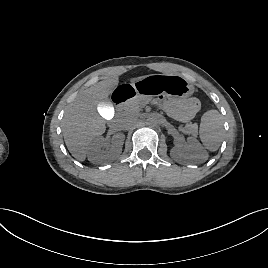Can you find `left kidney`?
<instances>
[{
	"instance_id": "1",
	"label": "left kidney",
	"mask_w": 268,
	"mask_h": 268,
	"mask_svg": "<svg viewBox=\"0 0 268 268\" xmlns=\"http://www.w3.org/2000/svg\"><path fill=\"white\" fill-rule=\"evenodd\" d=\"M170 155L174 160L185 163H200L208 158L207 152L193 137H188L186 142H178L171 149Z\"/></svg>"
}]
</instances>
